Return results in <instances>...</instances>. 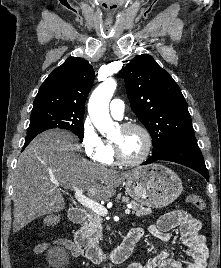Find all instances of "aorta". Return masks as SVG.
I'll return each mask as SVG.
<instances>
[{"label":"aorta","mask_w":221,"mask_h":268,"mask_svg":"<svg viewBox=\"0 0 221 268\" xmlns=\"http://www.w3.org/2000/svg\"><path fill=\"white\" fill-rule=\"evenodd\" d=\"M116 87V81L108 78L93 91L89 99V116L94 126L102 135H108L115 130L116 124L112 121L109 114V102Z\"/></svg>","instance_id":"762f6f07"}]
</instances>
